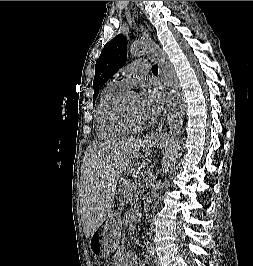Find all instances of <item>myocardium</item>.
<instances>
[{
    "label": "myocardium",
    "mask_w": 253,
    "mask_h": 266,
    "mask_svg": "<svg viewBox=\"0 0 253 266\" xmlns=\"http://www.w3.org/2000/svg\"><path fill=\"white\" fill-rule=\"evenodd\" d=\"M132 93V91H125L116 101L113 110L112 117L113 120L122 128L128 131H135L139 129L144 120H133L127 110H126V101L128 96Z\"/></svg>",
    "instance_id": "1"
}]
</instances>
